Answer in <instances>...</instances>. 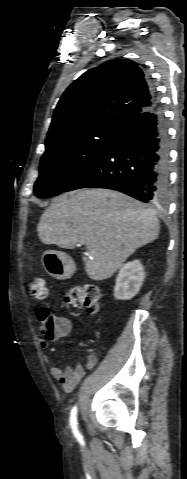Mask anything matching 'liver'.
I'll list each match as a JSON object with an SVG mask.
<instances>
[{"label":"liver","mask_w":187,"mask_h":479,"mask_svg":"<svg viewBox=\"0 0 187 479\" xmlns=\"http://www.w3.org/2000/svg\"><path fill=\"white\" fill-rule=\"evenodd\" d=\"M42 243L73 249L86 246L87 275L110 278L135 252L159 235L154 210L120 192L82 189L55 198L38 224Z\"/></svg>","instance_id":"liver-1"}]
</instances>
